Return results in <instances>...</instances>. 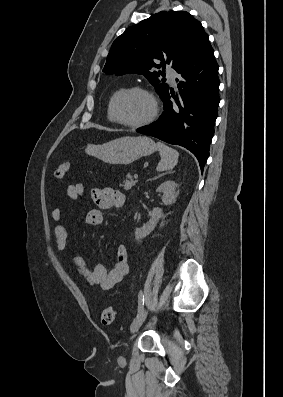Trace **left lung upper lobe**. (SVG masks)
I'll list each match as a JSON object with an SVG mask.
<instances>
[{
    "label": "left lung upper lobe",
    "instance_id": "1",
    "mask_svg": "<svg viewBox=\"0 0 283 397\" xmlns=\"http://www.w3.org/2000/svg\"><path fill=\"white\" fill-rule=\"evenodd\" d=\"M210 45L202 24L185 11H161L125 30L112 44L103 72L143 74L161 97L168 89L154 67L176 71ZM160 63V64H158Z\"/></svg>",
    "mask_w": 283,
    "mask_h": 397
}]
</instances>
